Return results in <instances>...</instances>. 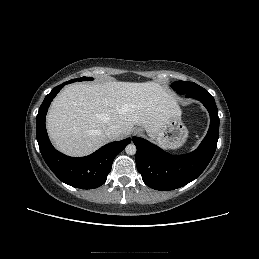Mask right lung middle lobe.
<instances>
[{
  "label": "right lung middle lobe",
  "instance_id": "dd1d6c3e",
  "mask_svg": "<svg viewBox=\"0 0 259 259\" xmlns=\"http://www.w3.org/2000/svg\"><path fill=\"white\" fill-rule=\"evenodd\" d=\"M83 80H92V78H87V77H82V78H77V79H72L70 82H76V81H83Z\"/></svg>",
  "mask_w": 259,
  "mask_h": 259
}]
</instances>
